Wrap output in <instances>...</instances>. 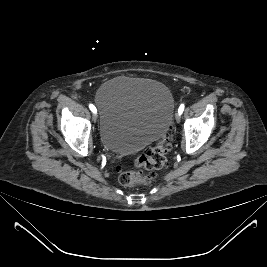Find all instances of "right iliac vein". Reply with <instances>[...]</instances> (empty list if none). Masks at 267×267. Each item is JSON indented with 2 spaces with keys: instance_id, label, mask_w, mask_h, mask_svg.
Returning <instances> with one entry per match:
<instances>
[{
  "instance_id": "1",
  "label": "right iliac vein",
  "mask_w": 267,
  "mask_h": 267,
  "mask_svg": "<svg viewBox=\"0 0 267 267\" xmlns=\"http://www.w3.org/2000/svg\"><path fill=\"white\" fill-rule=\"evenodd\" d=\"M93 121L96 122L97 121V115H93Z\"/></svg>"
}]
</instances>
